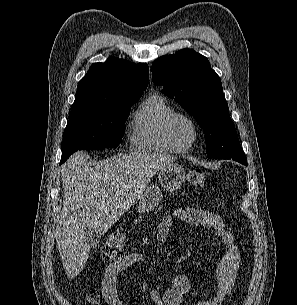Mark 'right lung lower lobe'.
<instances>
[{"mask_svg":"<svg viewBox=\"0 0 297 305\" xmlns=\"http://www.w3.org/2000/svg\"><path fill=\"white\" fill-rule=\"evenodd\" d=\"M64 162H65V161L61 159V162H60V164H62V163H64Z\"/></svg>","mask_w":297,"mask_h":305,"instance_id":"98d812e1","label":"right lung lower lobe"}]
</instances>
